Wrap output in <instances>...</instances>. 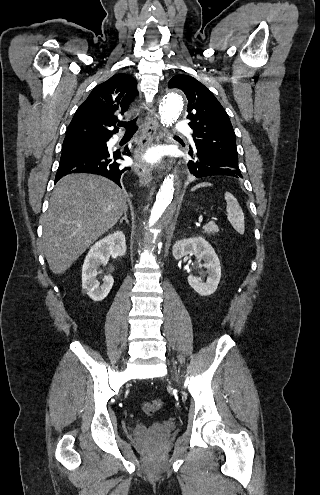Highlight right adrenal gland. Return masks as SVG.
Masks as SVG:
<instances>
[{"label":"right adrenal gland","mask_w":320,"mask_h":495,"mask_svg":"<svg viewBox=\"0 0 320 495\" xmlns=\"http://www.w3.org/2000/svg\"><path fill=\"white\" fill-rule=\"evenodd\" d=\"M125 221L127 224H129V220L127 219V211L124 212V216L120 219V224Z\"/></svg>","instance_id":"1"}]
</instances>
